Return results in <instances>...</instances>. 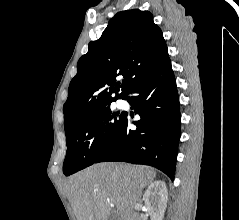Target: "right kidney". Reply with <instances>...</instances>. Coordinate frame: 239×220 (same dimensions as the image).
<instances>
[{
  "mask_svg": "<svg viewBox=\"0 0 239 220\" xmlns=\"http://www.w3.org/2000/svg\"><path fill=\"white\" fill-rule=\"evenodd\" d=\"M168 192L164 181H155L150 184L143 195V201L151 220H163L167 207Z\"/></svg>",
  "mask_w": 239,
  "mask_h": 220,
  "instance_id": "1",
  "label": "right kidney"
}]
</instances>
